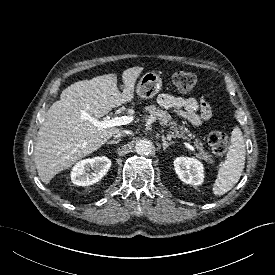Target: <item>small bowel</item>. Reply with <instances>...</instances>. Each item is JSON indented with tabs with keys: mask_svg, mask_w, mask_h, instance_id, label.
I'll return each mask as SVG.
<instances>
[{
	"mask_svg": "<svg viewBox=\"0 0 275 275\" xmlns=\"http://www.w3.org/2000/svg\"><path fill=\"white\" fill-rule=\"evenodd\" d=\"M157 103L165 109L174 110L194 126L202 125L210 119L212 114L211 107L204 97L184 98L163 93L157 97Z\"/></svg>",
	"mask_w": 275,
	"mask_h": 275,
	"instance_id": "c3829d8e",
	"label": "small bowel"
}]
</instances>
